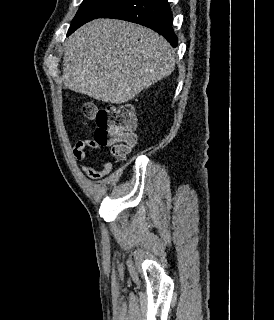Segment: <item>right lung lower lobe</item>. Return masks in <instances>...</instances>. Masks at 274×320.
<instances>
[{"mask_svg":"<svg viewBox=\"0 0 274 320\" xmlns=\"http://www.w3.org/2000/svg\"><path fill=\"white\" fill-rule=\"evenodd\" d=\"M97 18H114L146 26L161 34L173 47L178 40L172 28V12L167 0H121Z\"/></svg>","mask_w":274,"mask_h":320,"instance_id":"right-lung-lower-lobe-1","label":"right lung lower lobe"}]
</instances>
